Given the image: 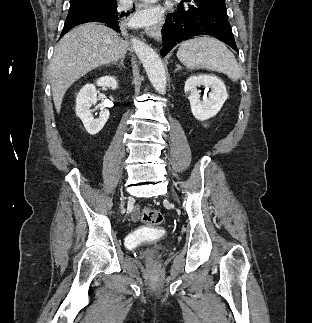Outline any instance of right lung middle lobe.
<instances>
[{
    "instance_id": "right-lung-middle-lobe-1",
    "label": "right lung middle lobe",
    "mask_w": 312,
    "mask_h": 323,
    "mask_svg": "<svg viewBox=\"0 0 312 323\" xmlns=\"http://www.w3.org/2000/svg\"><path fill=\"white\" fill-rule=\"evenodd\" d=\"M102 0H70V9L77 8L78 6H87Z\"/></svg>"
}]
</instances>
